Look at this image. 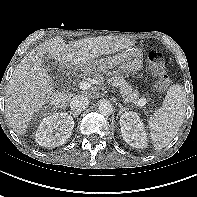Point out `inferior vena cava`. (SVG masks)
Returning <instances> with one entry per match:
<instances>
[{
  "label": "inferior vena cava",
  "mask_w": 197,
  "mask_h": 197,
  "mask_svg": "<svg viewBox=\"0 0 197 197\" xmlns=\"http://www.w3.org/2000/svg\"><path fill=\"white\" fill-rule=\"evenodd\" d=\"M89 105V100L83 95H75L71 98L70 107L73 113L80 114Z\"/></svg>",
  "instance_id": "obj_1"
}]
</instances>
